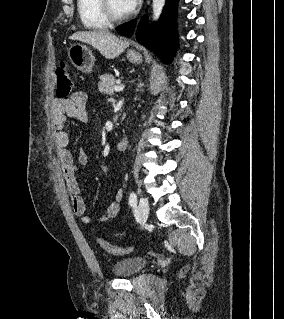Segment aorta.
<instances>
[{
    "label": "aorta",
    "mask_w": 284,
    "mask_h": 319,
    "mask_svg": "<svg viewBox=\"0 0 284 319\" xmlns=\"http://www.w3.org/2000/svg\"><path fill=\"white\" fill-rule=\"evenodd\" d=\"M166 0H152L153 20H158Z\"/></svg>",
    "instance_id": "762f6f07"
}]
</instances>
